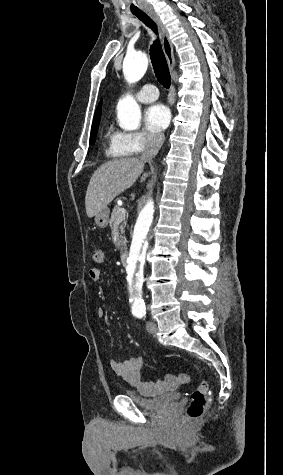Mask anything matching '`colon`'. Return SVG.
Here are the masks:
<instances>
[{
  "label": "colon",
  "mask_w": 283,
  "mask_h": 475,
  "mask_svg": "<svg viewBox=\"0 0 283 475\" xmlns=\"http://www.w3.org/2000/svg\"><path fill=\"white\" fill-rule=\"evenodd\" d=\"M91 258L94 263L101 264L106 259V253L103 249L95 247L92 249ZM208 383L206 379L200 378L195 389L192 392L190 403L187 406L184 421H196L202 418L208 407Z\"/></svg>",
  "instance_id": "5ec220e1"
}]
</instances>
